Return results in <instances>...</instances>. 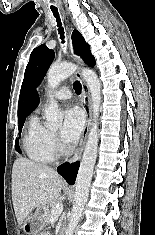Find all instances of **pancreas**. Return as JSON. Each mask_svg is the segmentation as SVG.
Instances as JSON below:
<instances>
[{
    "label": "pancreas",
    "instance_id": "cf45deb5",
    "mask_svg": "<svg viewBox=\"0 0 155 235\" xmlns=\"http://www.w3.org/2000/svg\"><path fill=\"white\" fill-rule=\"evenodd\" d=\"M58 203L57 200L51 201L48 205L44 207L45 223H49L51 219V210Z\"/></svg>",
    "mask_w": 155,
    "mask_h": 235
}]
</instances>
